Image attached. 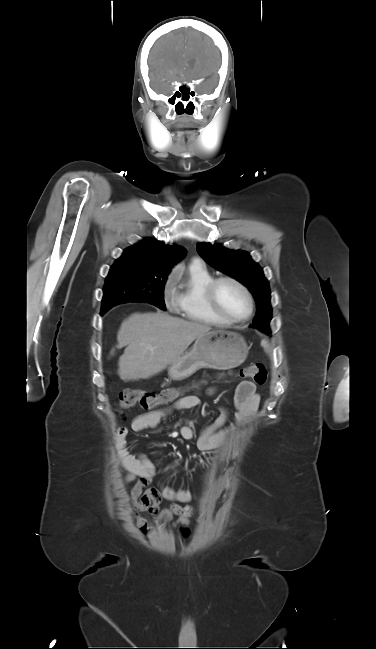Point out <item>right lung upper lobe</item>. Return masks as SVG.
<instances>
[{
	"mask_svg": "<svg viewBox=\"0 0 376 649\" xmlns=\"http://www.w3.org/2000/svg\"><path fill=\"white\" fill-rule=\"evenodd\" d=\"M185 248L166 245L151 238L127 248L119 259L133 260L152 273L170 272L171 267L185 255Z\"/></svg>",
	"mask_w": 376,
	"mask_h": 649,
	"instance_id": "cb5924a9",
	"label": "right lung upper lobe"
}]
</instances>
